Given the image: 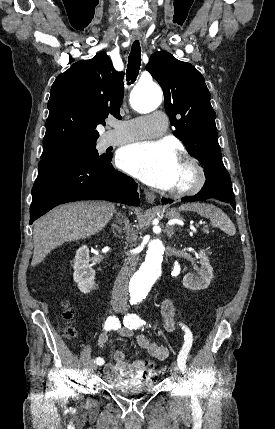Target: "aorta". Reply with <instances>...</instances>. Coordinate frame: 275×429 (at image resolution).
Masks as SVG:
<instances>
[{
    "mask_svg": "<svg viewBox=\"0 0 275 429\" xmlns=\"http://www.w3.org/2000/svg\"><path fill=\"white\" fill-rule=\"evenodd\" d=\"M161 100V89L153 82L139 83L131 94V105L139 113L155 110ZM164 250L160 239H152L149 242L145 261L131 279V296L134 301L145 297L160 276Z\"/></svg>",
    "mask_w": 275,
    "mask_h": 429,
    "instance_id": "aorta-1",
    "label": "aorta"
}]
</instances>
